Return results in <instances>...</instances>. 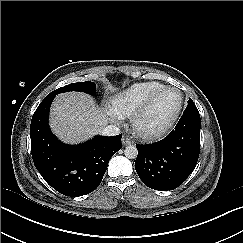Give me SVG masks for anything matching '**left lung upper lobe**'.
I'll return each instance as SVG.
<instances>
[{"label":"left lung upper lobe","mask_w":243,"mask_h":243,"mask_svg":"<svg viewBox=\"0 0 243 243\" xmlns=\"http://www.w3.org/2000/svg\"><path fill=\"white\" fill-rule=\"evenodd\" d=\"M186 108H196V106H195L194 102L192 101V99H189L188 105H187Z\"/></svg>","instance_id":"obj_1"}]
</instances>
